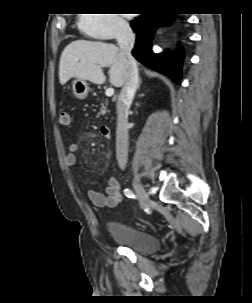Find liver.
<instances>
[{
    "label": "liver",
    "instance_id": "1",
    "mask_svg": "<svg viewBox=\"0 0 252 303\" xmlns=\"http://www.w3.org/2000/svg\"><path fill=\"white\" fill-rule=\"evenodd\" d=\"M109 66L110 83L122 87L126 70L120 49L113 44L99 41L76 40L65 47L59 63V81L64 85L71 78L103 84L106 77L103 67Z\"/></svg>",
    "mask_w": 252,
    "mask_h": 303
}]
</instances>
